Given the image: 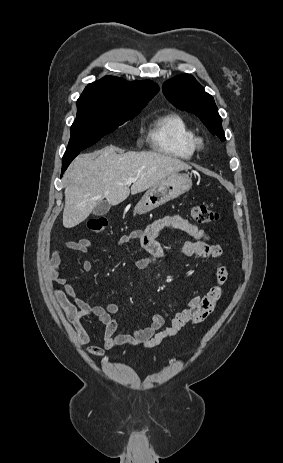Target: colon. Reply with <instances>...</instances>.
Masks as SVG:
<instances>
[{
	"label": "colon",
	"instance_id": "5ec220e1",
	"mask_svg": "<svg viewBox=\"0 0 283 463\" xmlns=\"http://www.w3.org/2000/svg\"><path fill=\"white\" fill-rule=\"evenodd\" d=\"M193 218L201 224H210L218 220V212L204 204H195L192 207ZM107 219L102 216L92 217L87 221V226L94 233H101L107 227Z\"/></svg>",
	"mask_w": 283,
	"mask_h": 463
}]
</instances>
